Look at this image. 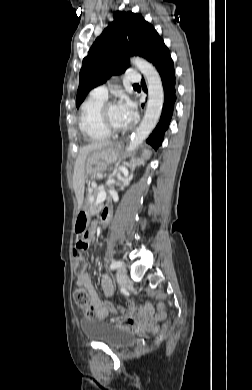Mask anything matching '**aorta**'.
Instances as JSON below:
<instances>
[{"instance_id":"obj_1","label":"aorta","mask_w":252,"mask_h":390,"mask_svg":"<svg viewBox=\"0 0 252 390\" xmlns=\"http://www.w3.org/2000/svg\"><path fill=\"white\" fill-rule=\"evenodd\" d=\"M133 65L143 74L148 88V102L142 122L131 137L127 151H133L140 145L156 126L163 107L164 90L159 73L148 61L134 57Z\"/></svg>"}]
</instances>
